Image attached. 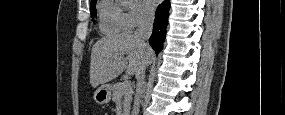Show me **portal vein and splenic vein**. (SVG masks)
<instances>
[{
  "label": "portal vein and splenic vein",
  "instance_id": "obj_1",
  "mask_svg": "<svg viewBox=\"0 0 285 115\" xmlns=\"http://www.w3.org/2000/svg\"><path fill=\"white\" fill-rule=\"evenodd\" d=\"M123 83H124L125 86H129L130 85V82L128 80H125Z\"/></svg>",
  "mask_w": 285,
  "mask_h": 115
}]
</instances>
